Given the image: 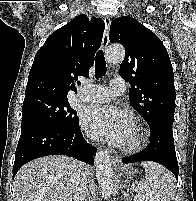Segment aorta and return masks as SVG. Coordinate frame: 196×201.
I'll return each instance as SVG.
<instances>
[{
  "label": "aorta",
  "instance_id": "1",
  "mask_svg": "<svg viewBox=\"0 0 196 201\" xmlns=\"http://www.w3.org/2000/svg\"><path fill=\"white\" fill-rule=\"evenodd\" d=\"M125 57V51L121 45H112L106 51V59L109 63L119 64ZM96 177L102 197L107 200L114 189V174L109 152L99 150L95 156Z\"/></svg>",
  "mask_w": 196,
  "mask_h": 201
}]
</instances>
